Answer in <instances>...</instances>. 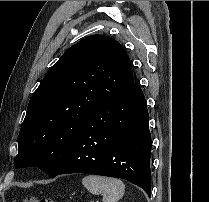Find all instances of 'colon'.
<instances>
[{"label":"colon","instance_id":"1","mask_svg":"<svg viewBox=\"0 0 209 202\" xmlns=\"http://www.w3.org/2000/svg\"><path fill=\"white\" fill-rule=\"evenodd\" d=\"M23 202H55L53 201L52 199L50 198H46V197H43V198H37V197H27L23 200Z\"/></svg>","mask_w":209,"mask_h":202}]
</instances>
